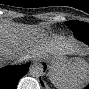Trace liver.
Listing matches in <instances>:
<instances>
[{
  "label": "liver",
  "mask_w": 89,
  "mask_h": 89,
  "mask_svg": "<svg viewBox=\"0 0 89 89\" xmlns=\"http://www.w3.org/2000/svg\"><path fill=\"white\" fill-rule=\"evenodd\" d=\"M83 49L58 40H50L40 28L33 25L3 24L0 27L1 61L11 54L18 62L26 59L28 54H34L49 61L50 57L62 59L66 55L80 54Z\"/></svg>",
  "instance_id": "6515ba94"
}]
</instances>
